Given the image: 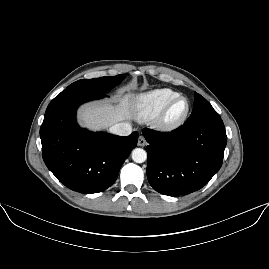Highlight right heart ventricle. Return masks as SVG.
I'll list each match as a JSON object with an SVG mask.
<instances>
[{
  "label": "right heart ventricle",
  "instance_id": "obj_1",
  "mask_svg": "<svg viewBox=\"0 0 269 269\" xmlns=\"http://www.w3.org/2000/svg\"><path fill=\"white\" fill-rule=\"evenodd\" d=\"M178 96L177 92L167 88L144 93L139 97L140 113L146 119L157 117L165 110L169 102Z\"/></svg>",
  "mask_w": 269,
  "mask_h": 269
}]
</instances>
